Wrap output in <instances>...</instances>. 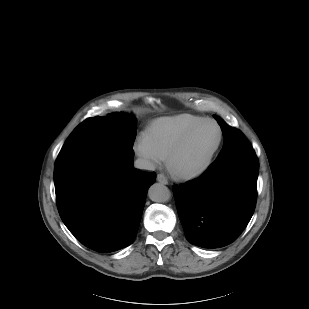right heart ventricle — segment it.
I'll list each match as a JSON object with an SVG mask.
<instances>
[{
	"instance_id": "e07e8e85",
	"label": "right heart ventricle",
	"mask_w": 309,
	"mask_h": 309,
	"mask_svg": "<svg viewBox=\"0 0 309 309\" xmlns=\"http://www.w3.org/2000/svg\"><path fill=\"white\" fill-rule=\"evenodd\" d=\"M203 119L190 114L160 118L153 121L146 128L142 138L160 159H166L181 136L190 127Z\"/></svg>"
}]
</instances>
